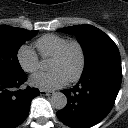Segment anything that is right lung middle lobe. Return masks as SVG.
Wrapping results in <instances>:
<instances>
[{"label": "right lung middle lobe", "mask_w": 128, "mask_h": 128, "mask_svg": "<svg viewBox=\"0 0 128 128\" xmlns=\"http://www.w3.org/2000/svg\"><path fill=\"white\" fill-rule=\"evenodd\" d=\"M38 33L22 28L0 25V74L14 76L23 72L17 52L19 48Z\"/></svg>", "instance_id": "dd1d6c3e"}]
</instances>
